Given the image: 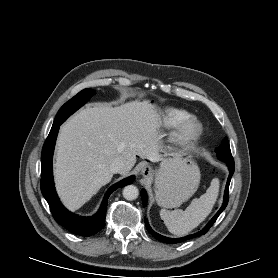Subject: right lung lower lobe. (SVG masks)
<instances>
[{
  "mask_svg": "<svg viewBox=\"0 0 278 278\" xmlns=\"http://www.w3.org/2000/svg\"><path fill=\"white\" fill-rule=\"evenodd\" d=\"M61 124L62 123L52 125L50 133L43 145L41 155V191L50 206L51 213L56 222L74 234L91 236L105 226L106 206L111 193L121 186L124 187L133 183L134 176L125 178L113 185L105 194L102 205L94 216L88 218L80 217L66 210L60 203L56 194L52 175V156L59 126Z\"/></svg>",
  "mask_w": 278,
  "mask_h": 278,
  "instance_id": "1",
  "label": "right lung lower lobe"
}]
</instances>
